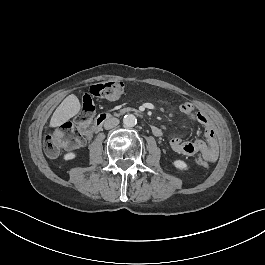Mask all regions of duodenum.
<instances>
[{
    "mask_svg": "<svg viewBox=\"0 0 265 265\" xmlns=\"http://www.w3.org/2000/svg\"><path fill=\"white\" fill-rule=\"evenodd\" d=\"M111 117L110 114L108 113H103L100 114L94 122V129H96L98 131V133L101 131V129L103 128L104 123ZM151 131L152 133L156 136V137H161L163 135L162 130L156 126V125H152L151 126Z\"/></svg>",
    "mask_w": 265,
    "mask_h": 265,
    "instance_id": "obj_1",
    "label": "duodenum"
}]
</instances>
